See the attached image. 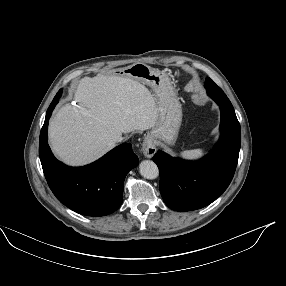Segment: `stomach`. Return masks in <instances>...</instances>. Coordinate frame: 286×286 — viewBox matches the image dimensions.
I'll use <instances>...</instances> for the list:
<instances>
[{
  "instance_id": "obj_1",
  "label": "stomach",
  "mask_w": 286,
  "mask_h": 286,
  "mask_svg": "<svg viewBox=\"0 0 286 286\" xmlns=\"http://www.w3.org/2000/svg\"><path fill=\"white\" fill-rule=\"evenodd\" d=\"M124 77L149 86L157 103L158 122L148 133L151 142L175 143L182 121V109L177 94L168 75L144 63H134L122 69Z\"/></svg>"
}]
</instances>
